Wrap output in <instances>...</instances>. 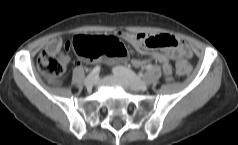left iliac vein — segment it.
<instances>
[{"label": "left iliac vein", "mask_w": 238, "mask_h": 145, "mask_svg": "<svg viewBox=\"0 0 238 145\" xmlns=\"http://www.w3.org/2000/svg\"><path fill=\"white\" fill-rule=\"evenodd\" d=\"M114 75L120 79L123 85L132 91H140L147 88V82L140 79L131 70L123 67L116 66L113 68Z\"/></svg>", "instance_id": "1"}]
</instances>
